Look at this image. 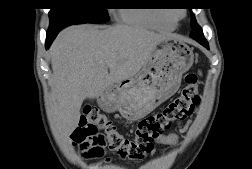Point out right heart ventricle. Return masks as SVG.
Masks as SVG:
<instances>
[{
    "instance_id": "e07e8e85",
    "label": "right heart ventricle",
    "mask_w": 252,
    "mask_h": 169,
    "mask_svg": "<svg viewBox=\"0 0 252 169\" xmlns=\"http://www.w3.org/2000/svg\"><path fill=\"white\" fill-rule=\"evenodd\" d=\"M118 16L125 23L143 28L171 31L177 26L175 19L162 12L120 9Z\"/></svg>"
}]
</instances>
